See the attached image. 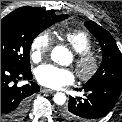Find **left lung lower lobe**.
I'll use <instances>...</instances> for the list:
<instances>
[{
  "label": "left lung lower lobe",
  "mask_w": 122,
  "mask_h": 122,
  "mask_svg": "<svg viewBox=\"0 0 122 122\" xmlns=\"http://www.w3.org/2000/svg\"><path fill=\"white\" fill-rule=\"evenodd\" d=\"M82 89L87 92L86 98L69 96L68 107L62 112L63 117L70 122H87L106 115L116 104L122 85L83 86Z\"/></svg>",
  "instance_id": "obj_1"
}]
</instances>
